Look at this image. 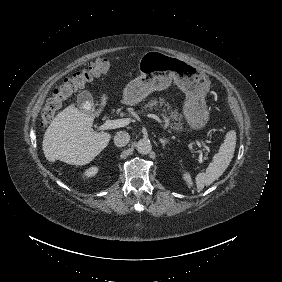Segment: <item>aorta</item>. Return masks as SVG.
<instances>
[{
  "label": "aorta",
  "mask_w": 282,
  "mask_h": 282,
  "mask_svg": "<svg viewBox=\"0 0 282 282\" xmlns=\"http://www.w3.org/2000/svg\"><path fill=\"white\" fill-rule=\"evenodd\" d=\"M136 149L140 154H148L152 149V145L148 139L143 138L137 141Z\"/></svg>",
  "instance_id": "aorta-1"
}]
</instances>
